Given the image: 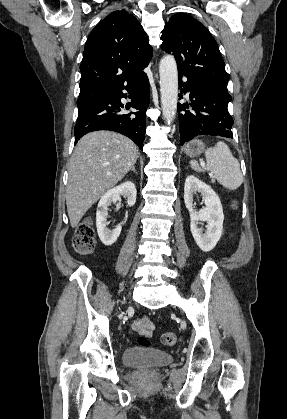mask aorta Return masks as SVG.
<instances>
[{
  "instance_id": "762f6f07",
  "label": "aorta",
  "mask_w": 287,
  "mask_h": 419,
  "mask_svg": "<svg viewBox=\"0 0 287 419\" xmlns=\"http://www.w3.org/2000/svg\"><path fill=\"white\" fill-rule=\"evenodd\" d=\"M159 73L163 117L170 125L176 116L178 101L177 64L172 55H166L161 59Z\"/></svg>"
}]
</instances>
